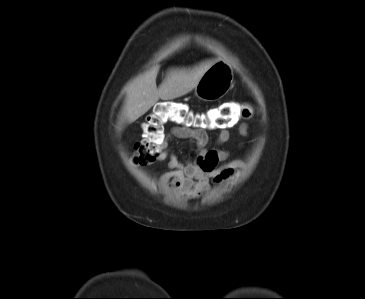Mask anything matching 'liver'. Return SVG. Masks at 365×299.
Listing matches in <instances>:
<instances>
[{
    "instance_id": "obj_1",
    "label": "liver",
    "mask_w": 365,
    "mask_h": 299,
    "mask_svg": "<svg viewBox=\"0 0 365 299\" xmlns=\"http://www.w3.org/2000/svg\"><path fill=\"white\" fill-rule=\"evenodd\" d=\"M213 64L214 61H206L193 69L171 70L159 88L156 86L158 69L145 73L129 86L119 125L133 123L159 99L172 100L191 92Z\"/></svg>"
}]
</instances>
